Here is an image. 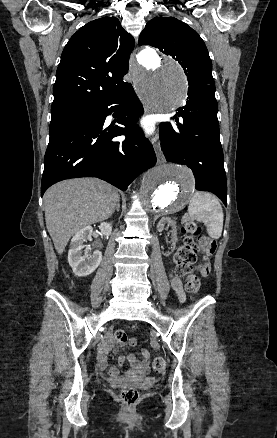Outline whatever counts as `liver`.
Wrapping results in <instances>:
<instances>
[{
    "label": "liver",
    "mask_w": 277,
    "mask_h": 438,
    "mask_svg": "<svg viewBox=\"0 0 277 438\" xmlns=\"http://www.w3.org/2000/svg\"><path fill=\"white\" fill-rule=\"evenodd\" d=\"M119 198L116 188L97 178L64 180L49 188L44 194L45 220L57 254H63L78 230L108 220Z\"/></svg>",
    "instance_id": "obj_1"
}]
</instances>
